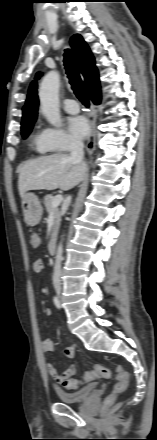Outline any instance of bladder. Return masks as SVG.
<instances>
[{"label": "bladder", "instance_id": "obj_1", "mask_svg": "<svg viewBox=\"0 0 157 440\" xmlns=\"http://www.w3.org/2000/svg\"><path fill=\"white\" fill-rule=\"evenodd\" d=\"M96 389V385L95 384H88L85 387L77 390V391H73V392H69V391H64L61 389H57L55 391L57 398L62 402V403H66V404H76V403H81L84 400H86L88 397H90L93 392Z\"/></svg>", "mask_w": 157, "mask_h": 440}]
</instances>
